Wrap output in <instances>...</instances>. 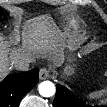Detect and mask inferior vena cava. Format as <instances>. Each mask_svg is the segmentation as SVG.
I'll list each match as a JSON object with an SVG mask.
<instances>
[{"label": "inferior vena cava", "mask_w": 107, "mask_h": 107, "mask_svg": "<svg viewBox=\"0 0 107 107\" xmlns=\"http://www.w3.org/2000/svg\"><path fill=\"white\" fill-rule=\"evenodd\" d=\"M33 62V59L28 56L14 58L12 60V64L17 70L20 71H27L30 68V64Z\"/></svg>", "instance_id": "1"}]
</instances>
